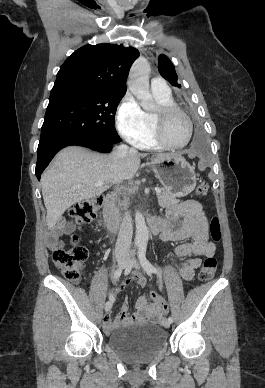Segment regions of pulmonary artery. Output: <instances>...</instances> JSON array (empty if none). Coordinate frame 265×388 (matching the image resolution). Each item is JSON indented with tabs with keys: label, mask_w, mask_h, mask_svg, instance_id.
Wrapping results in <instances>:
<instances>
[{
	"label": "pulmonary artery",
	"mask_w": 265,
	"mask_h": 388,
	"mask_svg": "<svg viewBox=\"0 0 265 388\" xmlns=\"http://www.w3.org/2000/svg\"><path fill=\"white\" fill-rule=\"evenodd\" d=\"M150 86L152 90H170V83H165L164 79H159L155 76L154 79H150Z\"/></svg>",
	"instance_id": "e3ab8cb5"
}]
</instances>
